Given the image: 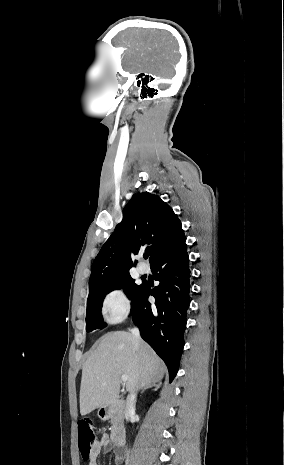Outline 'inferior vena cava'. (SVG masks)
Segmentation results:
<instances>
[{
    "mask_svg": "<svg viewBox=\"0 0 284 465\" xmlns=\"http://www.w3.org/2000/svg\"><path fill=\"white\" fill-rule=\"evenodd\" d=\"M131 333L133 337H140L138 329H132ZM135 405H136V393H131V395H128L126 399V407L124 411L125 419H127V421H129L131 415H134Z\"/></svg>",
    "mask_w": 284,
    "mask_h": 465,
    "instance_id": "inferior-vena-cava-1",
    "label": "inferior vena cava"
}]
</instances>
